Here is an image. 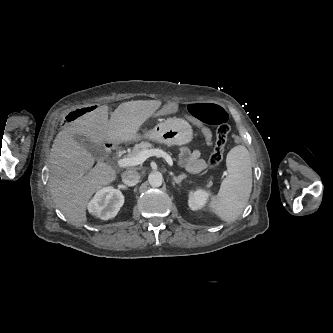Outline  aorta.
Returning <instances> with one entry per match:
<instances>
[{
  "mask_svg": "<svg viewBox=\"0 0 333 333\" xmlns=\"http://www.w3.org/2000/svg\"><path fill=\"white\" fill-rule=\"evenodd\" d=\"M148 181L152 187H160L163 183V176L159 171H154L149 174Z\"/></svg>",
  "mask_w": 333,
  "mask_h": 333,
  "instance_id": "762f6f07",
  "label": "aorta"
}]
</instances>
